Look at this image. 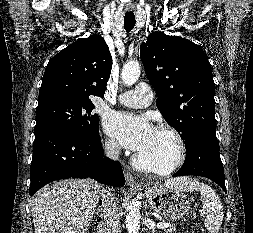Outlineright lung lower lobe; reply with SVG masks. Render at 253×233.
<instances>
[{
  "mask_svg": "<svg viewBox=\"0 0 253 233\" xmlns=\"http://www.w3.org/2000/svg\"><path fill=\"white\" fill-rule=\"evenodd\" d=\"M92 178L110 186L125 184L121 164L104 157L99 133L81 137L64 130L35 134L30 168V196L58 179Z\"/></svg>",
  "mask_w": 253,
  "mask_h": 233,
  "instance_id": "1",
  "label": "right lung lower lobe"
}]
</instances>
